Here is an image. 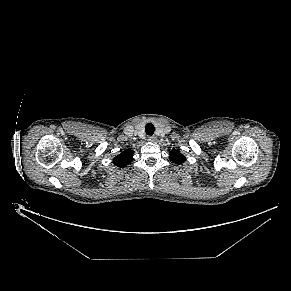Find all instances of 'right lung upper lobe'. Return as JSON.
<instances>
[{
    "label": "right lung upper lobe",
    "instance_id": "cb5924a9",
    "mask_svg": "<svg viewBox=\"0 0 291 291\" xmlns=\"http://www.w3.org/2000/svg\"><path fill=\"white\" fill-rule=\"evenodd\" d=\"M133 160V150L127 149L113 159V164L123 168Z\"/></svg>",
    "mask_w": 291,
    "mask_h": 291
}]
</instances>
